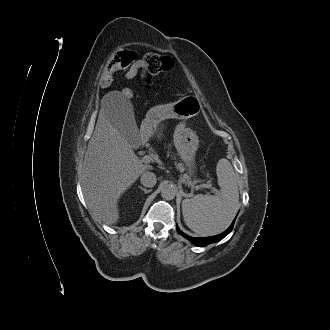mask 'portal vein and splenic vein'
<instances>
[{
	"instance_id": "1",
	"label": "portal vein and splenic vein",
	"mask_w": 330,
	"mask_h": 330,
	"mask_svg": "<svg viewBox=\"0 0 330 330\" xmlns=\"http://www.w3.org/2000/svg\"><path fill=\"white\" fill-rule=\"evenodd\" d=\"M153 161V157L152 156H150V155H144L143 157H142V162L143 163H150V162H152ZM197 188L199 189V188H208V189H210V188H212V185L211 184H202V185H198L197 186Z\"/></svg>"
}]
</instances>
